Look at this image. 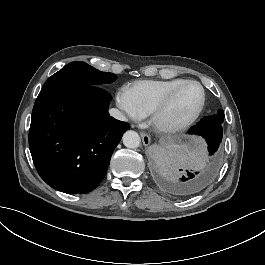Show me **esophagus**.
Wrapping results in <instances>:
<instances>
[{
  "mask_svg": "<svg viewBox=\"0 0 265 265\" xmlns=\"http://www.w3.org/2000/svg\"><path fill=\"white\" fill-rule=\"evenodd\" d=\"M140 135L143 141V145L148 146L151 142L150 136L144 131H140Z\"/></svg>",
  "mask_w": 265,
  "mask_h": 265,
  "instance_id": "obj_1",
  "label": "esophagus"
}]
</instances>
